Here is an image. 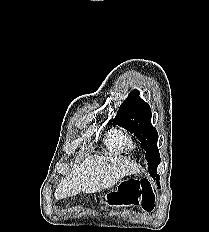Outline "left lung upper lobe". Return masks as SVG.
<instances>
[{"label": "left lung upper lobe", "instance_id": "obj_1", "mask_svg": "<svg viewBox=\"0 0 209 232\" xmlns=\"http://www.w3.org/2000/svg\"><path fill=\"white\" fill-rule=\"evenodd\" d=\"M151 116L149 104L139 97V91L134 90L119 107L114 123L134 133L141 142L146 151L149 174L159 184L160 177L156 172L160 163L158 133L151 124Z\"/></svg>", "mask_w": 209, "mask_h": 232}]
</instances>
